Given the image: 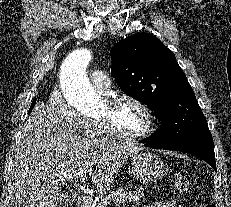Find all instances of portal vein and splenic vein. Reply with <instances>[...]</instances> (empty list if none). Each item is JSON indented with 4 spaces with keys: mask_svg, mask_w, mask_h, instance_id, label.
<instances>
[{
    "mask_svg": "<svg viewBox=\"0 0 231 207\" xmlns=\"http://www.w3.org/2000/svg\"><path fill=\"white\" fill-rule=\"evenodd\" d=\"M83 180H85V178H83ZM76 185H78L82 190H85V186L81 185L80 183H76Z\"/></svg>",
    "mask_w": 231,
    "mask_h": 207,
    "instance_id": "obj_1",
    "label": "portal vein and splenic vein"
}]
</instances>
